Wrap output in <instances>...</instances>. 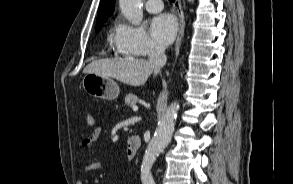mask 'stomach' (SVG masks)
Wrapping results in <instances>:
<instances>
[{"label":"stomach","mask_w":293,"mask_h":184,"mask_svg":"<svg viewBox=\"0 0 293 184\" xmlns=\"http://www.w3.org/2000/svg\"><path fill=\"white\" fill-rule=\"evenodd\" d=\"M84 90L92 97L114 100L120 93L118 84L107 76L86 73L82 80Z\"/></svg>","instance_id":"stomach-1"}]
</instances>
